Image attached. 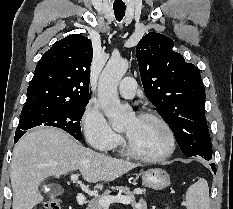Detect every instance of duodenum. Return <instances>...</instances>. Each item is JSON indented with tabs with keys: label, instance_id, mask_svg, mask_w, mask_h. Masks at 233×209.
Here are the masks:
<instances>
[{
	"label": "duodenum",
	"instance_id": "duodenum-1",
	"mask_svg": "<svg viewBox=\"0 0 233 209\" xmlns=\"http://www.w3.org/2000/svg\"><path fill=\"white\" fill-rule=\"evenodd\" d=\"M76 204L79 205V206H83L86 204V197L79 193L76 195Z\"/></svg>",
	"mask_w": 233,
	"mask_h": 209
}]
</instances>
